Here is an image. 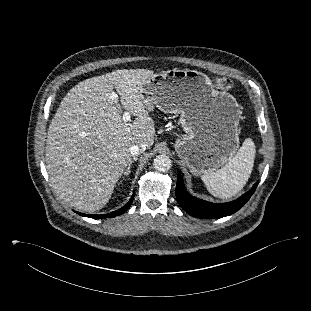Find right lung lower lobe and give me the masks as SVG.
I'll list each match as a JSON object with an SVG mask.
<instances>
[{"label": "right lung lower lobe", "instance_id": "1", "mask_svg": "<svg viewBox=\"0 0 311 311\" xmlns=\"http://www.w3.org/2000/svg\"><path fill=\"white\" fill-rule=\"evenodd\" d=\"M133 199H134V194L132 195L131 199L129 200V202L125 206L121 207L120 209H118L112 213L103 214V215H92V214H83V213H79V214L81 216H86V217H90V218H94V219H103V218L115 217V216L123 214L125 211H127L129 209V207L131 206Z\"/></svg>", "mask_w": 311, "mask_h": 311}]
</instances>
